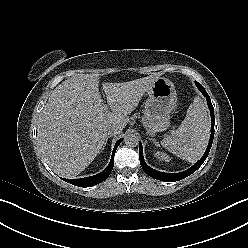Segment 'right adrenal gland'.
<instances>
[{"instance_id": "1", "label": "right adrenal gland", "mask_w": 248, "mask_h": 248, "mask_svg": "<svg viewBox=\"0 0 248 248\" xmlns=\"http://www.w3.org/2000/svg\"><path fill=\"white\" fill-rule=\"evenodd\" d=\"M108 138H109V137H108ZM108 138H107V140H108ZM107 140L105 141V143H104V145H103V147H102V150L105 148L106 143H107Z\"/></svg>"}]
</instances>
